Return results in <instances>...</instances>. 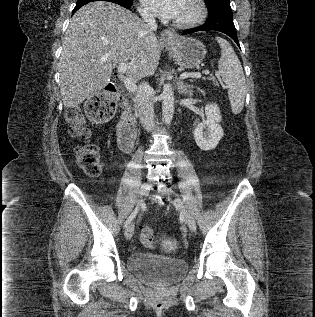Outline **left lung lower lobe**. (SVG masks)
Returning <instances> with one entry per match:
<instances>
[{
	"label": "left lung lower lobe",
	"mask_w": 315,
	"mask_h": 317,
	"mask_svg": "<svg viewBox=\"0 0 315 317\" xmlns=\"http://www.w3.org/2000/svg\"><path fill=\"white\" fill-rule=\"evenodd\" d=\"M207 30H216V31H220V32H223V33L227 34L240 47L239 41H238V38H237L236 28L234 26L233 21H223V22L216 23V24L206 21L203 25H201L199 27L185 30L182 33V35L194 33V32H197V31H207Z\"/></svg>",
	"instance_id": "0a47b994"
}]
</instances>
